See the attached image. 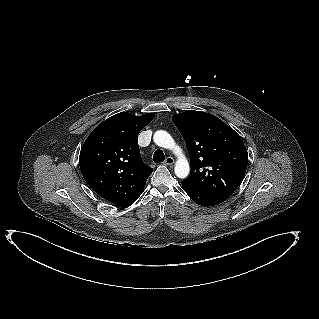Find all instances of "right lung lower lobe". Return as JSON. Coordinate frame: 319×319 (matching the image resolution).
Returning a JSON list of instances; mask_svg holds the SVG:
<instances>
[{
	"label": "right lung lower lobe",
	"instance_id": "right-lung-lower-lobe-1",
	"mask_svg": "<svg viewBox=\"0 0 319 319\" xmlns=\"http://www.w3.org/2000/svg\"><path fill=\"white\" fill-rule=\"evenodd\" d=\"M142 193V191L140 193H138L136 196L124 201L123 203L120 204L121 207L123 208H126L128 206H130L131 204H133L137 199L138 197L140 196V194Z\"/></svg>",
	"mask_w": 319,
	"mask_h": 319
}]
</instances>
